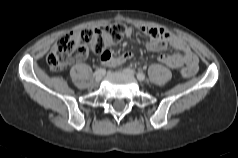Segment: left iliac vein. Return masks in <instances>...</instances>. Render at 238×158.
<instances>
[{"label":"left iliac vein","instance_id":"1","mask_svg":"<svg viewBox=\"0 0 238 158\" xmlns=\"http://www.w3.org/2000/svg\"><path fill=\"white\" fill-rule=\"evenodd\" d=\"M124 72L126 74L130 75V76H134L135 75V72L132 69H130V68H125Z\"/></svg>","mask_w":238,"mask_h":158}]
</instances>
